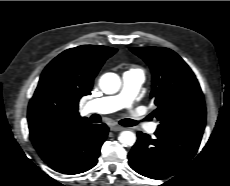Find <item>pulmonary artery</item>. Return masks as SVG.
<instances>
[{
	"label": "pulmonary artery",
	"mask_w": 230,
	"mask_h": 186,
	"mask_svg": "<svg viewBox=\"0 0 230 186\" xmlns=\"http://www.w3.org/2000/svg\"><path fill=\"white\" fill-rule=\"evenodd\" d=\"M145 80L144 73L140 70H128L122 76L121 91L112 96L93 99L86 104V109L96 113H112L120 109H130ZM157 123L148 125L147 130L154 133Z\"/></svg>",
	"instance_id": "pulmonary-artery-1"
}]
</instances>
